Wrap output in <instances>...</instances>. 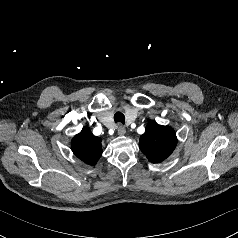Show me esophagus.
Here are the masks:
<instances>
[{
	"mask_svg": "<svg viewBox=\"0 0 238 238\" xmlns=\"http://www.w3.org/2000/svg\"><path fill=\"white\" fill-rule=\"evenodd\" d=\"M117 133L122 136L126 133L125 127L122 124L117 125Z\"/></svg>",
	"mask_w": 238,
	"mask_h": 238,
	"instance_id": "34e87169",
	"label": "esophagus"
}]
</instances>
